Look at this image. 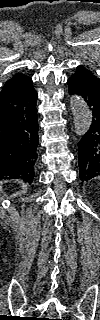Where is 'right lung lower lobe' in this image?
<instances>
[{
  "label": "right lung lower lobe",
  "instance_id": "right-lung-lower-lobe-1",
  "mask_svg": "<svg viewBox=\"0 0 100 320\" xmlns=\"http://www.w3.org/2000/svg\"><path fill=\"white\" fill-rule=\"evenodd\" d=\"M37 93L0 99V176L31 183L37 160Z\"/></svg>",
  "mask_w": 100,
  "mask_h": 320
}]
</instances>
